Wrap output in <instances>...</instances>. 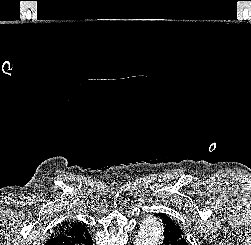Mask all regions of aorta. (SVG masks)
<instances>
[{
	"mask_svg": "<svg viewBox=\"0 0 251 245\" xmlns=\"http://www.w3.org/2000/svg\"><path fill=\"white\" fill-rule=\"evenodd\" d=\"M162 229V223L158 219L150 216L144 218L134 245H158Z\"/></svg>",
	"mask_w": 251,
	"mask_h": 245,
	"instance_id": "obj_1",
	"label": "aorta"
}]
</instances>
